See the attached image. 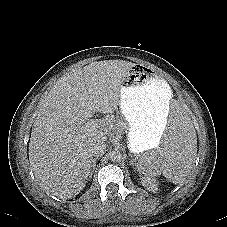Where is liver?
Here are the masks:
<instances>
[{
    "mask_svg": "<svg viewBox=\"0 0 227 227\" xmlns=\"http://www.w3.org/2000/svg\"><path fill=\"white\" fill-rule=\"evenodd\" d=\"M135 65L122 60L93 62L58 79L40 102L29 142L36 179L52 195L71 199L86 186L93 166L92 147L107 141L117 121L122 80ZM95 112L106 114L95 130L81 129Z\"/></svg>",
    "mask_w": 227,
    "mask_h": 227,
    "instance_id": "6515ba94",
    "label": "liver"
}]
</instances>
